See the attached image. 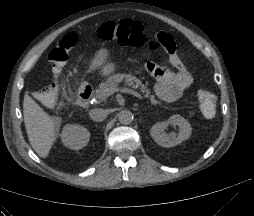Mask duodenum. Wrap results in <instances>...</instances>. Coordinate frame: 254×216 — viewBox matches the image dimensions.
Wrapping results in <instances>:
<instances>
[{"label":"duodenum","mask_w":254,"mask_h":216,"mask_svg":"<svg viewBox=\"0 0 254 216\" xmlns=\"http://www.w3.org/2000/svg\"><path fill=\"white\" fill-rule=\"evenodd\" d=\"M92 94V88L89 85L82 86L77 93L76 96V103L81 106L85 107L89 104Z\"/></svg>","instance_id":"obj_1"}]
</instances>
